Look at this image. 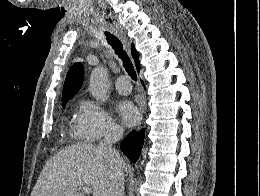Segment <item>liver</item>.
<instances>
[{
	"mask_svg": "<svg viewBox=\"0 0 260 196\" xmlns=\"http://www.w3.org/2000/svg\"><path fill=\"white\" fill-rule=\"evenodd\" d=\"M121 168L126 172L125 164ZM118 170L112 154L94 144H74L46 162L31 196H83L81 186L91 188L92 196H109Z\"/></svg>",
	"mask_w": 260,
	"mask_h": 196,
	"instance_id": "1",
	"label": "liver"
}]
</instances>
